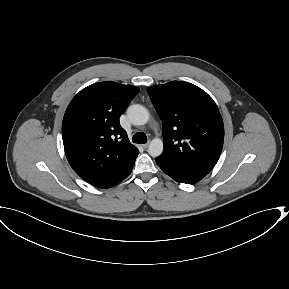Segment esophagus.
<instances>
[{"mask_svg": "<svg viewBox=\"0 0 289 289\" xmlns=\"http://www.w3.org/2000/svg\"><path fill=\"white\" fill-rule=\"evenodd\" d=\"M148 146H149V143H146V144H143V145H142V147H143L144 149L148 148Z\"/></svg>", "mask_w": 289, "mask_h": 289, "instance_id": "obj_1", "label": "esophagus"}]
</instances>
